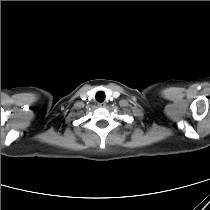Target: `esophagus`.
Masks as SVG:
<instances>
[{
  "instance_id": "obj_1",
  "label": "esophagus",
  "mask_w": 210,
  "mask_h": 210,
  "mask_svg": "<svg viewBox=\"0 0 210 210\" xmlns=\"http://www.w3.org/2000/svg\"><path fill=\"white\" fill-rule=\"evenodd\" d=\"M98 106H99L100 108H104V107L106 106V103H104V102L99 103Z\"/></svg>"
}]
</instances>
